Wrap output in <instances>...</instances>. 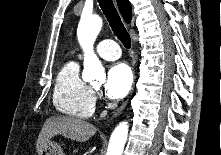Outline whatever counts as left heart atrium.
Instances as JSON below:
<instances>
[{
    "label": "left heart atrium",
    "instance_id": "1",
    "mask_svg": "<svg viewBox=\"0 0 221 155\" xmlns=\"http://www.w3.org/2000/svg\"><path fill=\"white\" fill-rule=\"evenodd\" d=\"M132 81L130 68L124 63L115 64L108 70L105 94L111 99H121L130 91Z\"/></svg>",
    "mask_w": 221,
    "mask_h": 155
}]
</instances>
